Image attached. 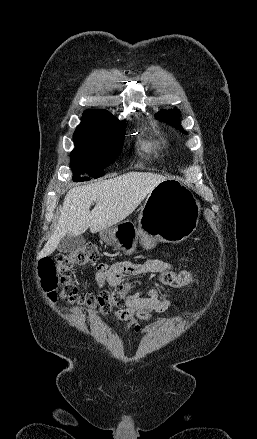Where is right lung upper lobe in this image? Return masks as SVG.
I'll return each instance as SVG.
<instances>
[{"label": "right lung upper lobe", "instance_id": "1", "mask_svg": "<svg viewBox=\"0 0 257 439\" xmlns=\"http://www.w3.org/2000/svg\"><path fill=\"white\" fill-rule=\"evenodd\" d=\"M82 119H99L108 122H116L117 120L112 114L105 110H86Z\"/></svg>", "mask_w": 257, "mask_h": 439}]
</instances>
